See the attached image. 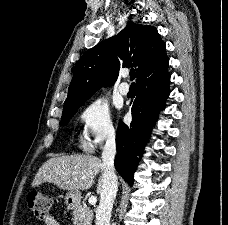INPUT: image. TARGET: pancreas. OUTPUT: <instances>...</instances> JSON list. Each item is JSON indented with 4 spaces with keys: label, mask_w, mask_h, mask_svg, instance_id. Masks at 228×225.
Wrapping results in <instances>:
<instances>
[{
    "label": "pancreas",
    "mask_w": 228,
    "mask_h": 225,
    "mask_svg": "<svg viewBox=\"0 0 228 225\" xmlns=\"http://www.w3.org/2000/svg\"><path fill=\"white\" fill-rule=\"evenodd\" d=\"M73 225H91L93 221V211L85 205H79L73 209Z\"/></svg>",
    "instance_id": "pancreas-1"
}]
</instances>
